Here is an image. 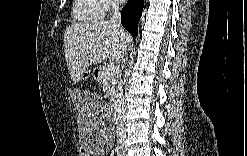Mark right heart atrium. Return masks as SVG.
<instances>
[{
    "mask_svg": "<svg viewBox=\"0 0 247 156\" xmlns=\"http://www.w3.org/2000/svg\"><path fill=\"white\" fill-rule=\"evenodd\" d=\"M101 4H102L103 13H106L109 10H111L114 5H116V2L111 0H104L101 2Z\"/></svg>",
    "mask_w": 247,
    "mask_h": 156,
    "instance_id": "d8ad5b80",
    "label": "right heart atrium"
}]
</instances>
